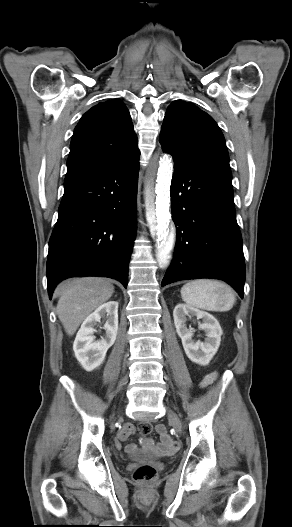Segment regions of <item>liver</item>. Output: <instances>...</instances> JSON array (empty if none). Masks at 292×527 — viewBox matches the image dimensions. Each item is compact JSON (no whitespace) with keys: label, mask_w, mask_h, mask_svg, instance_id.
<instances>
[{"label":"liver","mask_w":292,"mask_h":527,"mask_svg":"<svg viewBox=\"0 0 292 527\" xmlns=\"http://www.w3.org/2000/svg\"><path fill=\"white\" fill-rule=\"evenodd\" d=\"M55 293L59 296L58 318L72 336L95 309L110 299L114 286L103 278L82 277L59 284Z\"/></svg>","instance_id":"obj_1"}]
</instances>
